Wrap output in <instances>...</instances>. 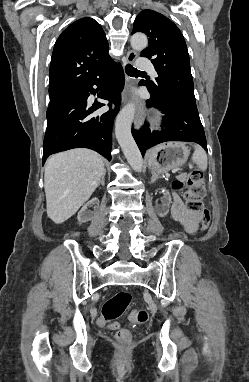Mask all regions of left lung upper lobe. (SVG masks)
Listing matches in <instances>:
<instances>
[{
	"mask_svg": "<svg viewBox=\"0 0 249 382\" xmlns=\"http://www.w3.org/2000/svg\"><path fill=\"white\" fill-rule=\"evenodd\" d=\"M138 31L149 37L141 56L151 59L158 73L155 81L145 83L147 88L164 100L196 105L189 55L178 27L164 15L147 9L134 21L132 34Z\"/></svg>",
	"mask_w": 249,
	"mask_h": 382,
	"instance_id": "5c2ea615",
	"label": "left lung upper lobe"
}]
</instances>
